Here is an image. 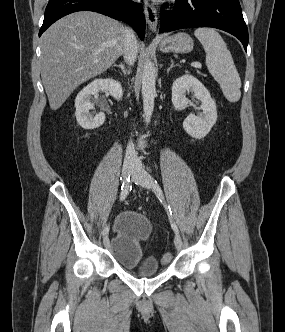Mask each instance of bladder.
Wrapping results in <instances>:
<instances>
[{"mask_svg": "<svg viewBox=\"0 0 285 332\" xmlns=\"http://www.w3.org/2000/svg\"><path fill=\"white\" fill-rule=\"evenodd\" d=\"M152 232L153 226L143 214L136 211L121 213L116 220L115 234L109 244L118 264L141 276L158 273L157 259L145 256L143 250V243Z\"/></svg>", "mask_w": 285, "mask_h": 332, "instance_id": "31cf9c89", "label": "bladder"}]
</instances>
